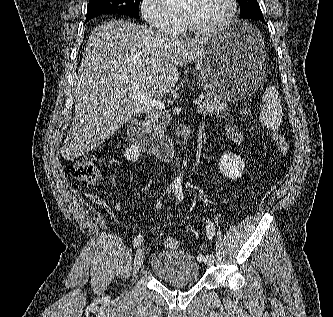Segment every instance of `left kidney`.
I'll use <instances>...</instances> for the list:
<instances>
[{"label": "left kidney", "mask_w": 333, "mask_h": 317, "mask_svg": "<svg viewBox=\"0 0 333 317\" xmlns=\"http://www.w3.org/2000/svg\"><path fill=\"white\" fill-rule=\"evenodd\" d=\"M245 168L243 159L236 154L225 153L219 161V169L224 176L233 180L242 176Z\"/></svg>", "instance_id": "5707ae66"}]
</instances>
